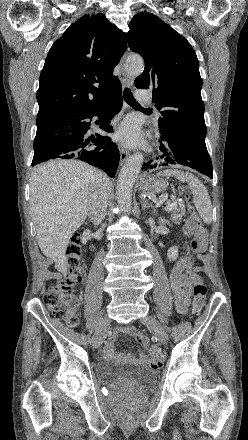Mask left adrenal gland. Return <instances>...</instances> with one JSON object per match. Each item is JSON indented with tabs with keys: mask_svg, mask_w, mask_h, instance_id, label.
Here are the masks:
<instances>
[{
	"mask_svg": "<svg viewBox=\"0 0 248 440\" xmlns=\"http://www.w3.org/2000/svg\"><path fill=\"white\" fill-rule=\"evenodd\" d=\"M150 205L147 203L146 200L142 201V209L145 211V209H149Z\"/></svg>",
	"mask_w": 248,
	"mask_h": 440,
	"instance_id": "obj_1",
	"label": "left adrenal gland"
}]
</instances>
